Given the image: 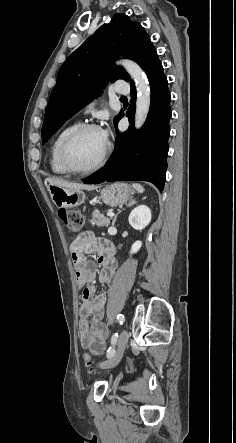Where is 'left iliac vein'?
Returning <instances> with one entry per match:
<instances>
[{
    "label": "left iliac vein",
    "mask_w": 236,
    "mask_h": 443,
    "mask_svg": "<svg viewBox=\"0 0 236 443\" xmlns=\"http://www.w3.org/2000/svg\"><path fill=\"white\" fill-rule=\"evenodd\" d=\"M128 338H129L128 332L126 330H123L118 338L117 351L115 355L111 359L102 362L100 364L102 368L106 369L113 368L120 362L123 353L125 351V348L127 346Z\"/></svg>",
    "instance_id": "1"
}]
</instances>
